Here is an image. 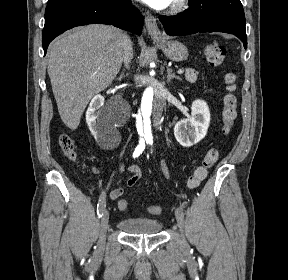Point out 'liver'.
<instances>
[{"instance_id":"6515ba94","label":"liver","mask_w":288,"mask_h":280,"mask_svg":"<svg viewBox=\"0 0 288 280\" xmlns=\"http://www.w3.org/2000/svg\"><path fill=\"white\" fill-rule=\"evenodd\" d=\"M124 36L113 26L92 24L68 32L50 45L47 71L60 117L70 129L78 127L91 98L118 74Z\"/></svg>"}]
</instances>
